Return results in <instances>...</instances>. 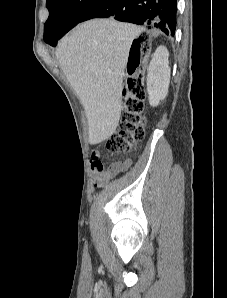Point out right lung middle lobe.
I'll return each instance as SVG.
<instances>
[{"mask_svg": "<svg viewBox=\"0 0 227 298\" xmlns=\"http://www.w3.org/2000/svg\"><path fill=\"white\" fill-rule=\"evenodd\" d=\"M100 0H47L46 7L49 17L44 26V40L54 32L69 31L99 2Z\"/></svg>", "mask_w": 227, "mask_h": 298, "instance_id": "dd1d6c3e", "label": "right lung middle lobe"}]
</instances>
